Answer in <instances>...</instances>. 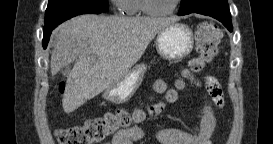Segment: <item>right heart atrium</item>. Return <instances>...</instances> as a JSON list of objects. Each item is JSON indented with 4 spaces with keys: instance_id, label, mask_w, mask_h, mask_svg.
<instances>
[{
    "instance_id": "obj_1",
    "label": "right heart atrium",
    "mask_w": 273,
    "mask_h": 144,
    "mask_svg": "<svg viewBox=\"0 0 273 144\" xmlns=\"http://www.w3.org/2000/svg\"><path fill=\"white\" fill-rule=\"evenodd\" d=\"M125 1L126 0H112L111 2L115 10L122 11Z\"/></svg>"
}]
</instances>
